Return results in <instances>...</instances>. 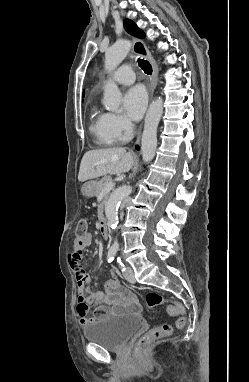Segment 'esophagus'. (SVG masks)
<instances>
[{"mask_svg":"<svg viewBox=\"0 0 249 382\" xmlns=\"http://www.w3.org/2000/svg\"><path fill=\"white\" fill-rule=\"evenodd\" d=\"M132 50L135 54H138L140 56H143L144 58L148 59L152 65V75L150 77V99L153 98L154 91L157 86V79H158V66L152 57L151 53L149 52L148 48L144 44V42L140 39H133L132 43ZM141 132L142 128L138 131L136 143L138 144L141 139Z\"/></svg>","mask_w":249,"mask_h":382,"instance_id":"obj_1","label":"esophagus"}]
</instances>
